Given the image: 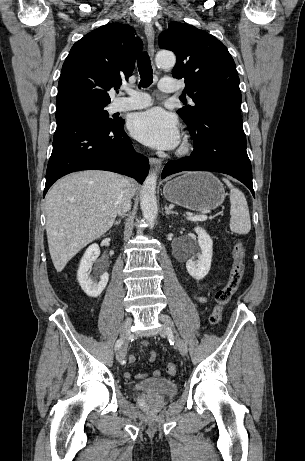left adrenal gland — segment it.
<instances>
[{"label": "left adrenal gland", "mask_w": 305, "mask_h": 461, "mask_svg": "<svg viewBox=\"0 0 305 461\" xmlns=\"http://www.w3.org/2000/svg\"><path fill=\"white\" fill-rule=\"evenodd\" d=\"M165 214L170 215V214H176L178 215L177 212L172 211L167 205L165 206Z\"/></svg>", "instance_id": "a2214340"}]
</instances>
